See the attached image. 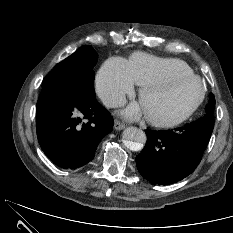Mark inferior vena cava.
Masks as SVG:
<instances>
[{
	"mask_svg": "<svg viewBox=\"0 0 233 233\" xmlns=\"http://www.w3.org/2000/svg\"><path fill=\"white\" fill-rule=\"evenodd\" d=\"M102 102L109 108L121 107L125 104V97L121 94L107 95L102 98Z\"/></svg>",
	"mask_w": 233,
	"mask_h": 233,
	"instance_id": "obj_1",
	"label": "inferior vena cava"
}]
</instances>
